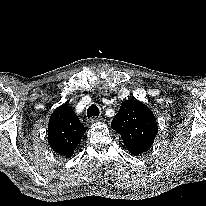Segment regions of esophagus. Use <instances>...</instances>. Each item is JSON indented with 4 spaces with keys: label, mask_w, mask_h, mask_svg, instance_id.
I'll use <instances>...</instances> for the list:
<instances>
[{
    "label": "esophagus",
    "mask_w": 206,
    "mask_h": 206,
    "mask_svg": "<svg viewBox=\"0 0 206 206\" xmlns=\"http://www.w3.org/2000/svg\"><path fill=\"white\" fill-rule=\"evenodd\" d=\"M102 120H103L102 117H92V118H90L89 122H90L91 124H95V123H98V122H100V121H102Z\"/></svg>",
    "instance_id": "1"
}]
</instances>
